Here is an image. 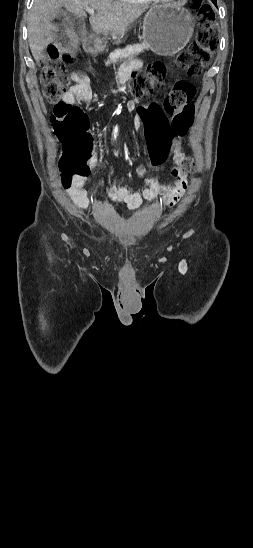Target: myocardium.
I'll return each instance as SVG.
<instances>
[{
    "label": "myocardium",
    "mask_w": 253,
    "mask_h": 548,
    "mask_svg": "<svg viewBox=\"0 0 253 548\" xmlns=\"http://www.w3.org/2000/svg\"><path fill=\"white\" fill-rule=\"evenodd\" d=\"M152 1L168 3V2H172L174 0H152Z\"/></svg>",
    "instance_id": "obj_1"
}]
</instances>
